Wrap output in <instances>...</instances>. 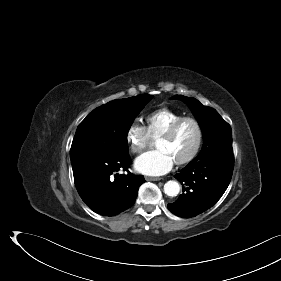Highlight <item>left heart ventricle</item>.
<instances>
[{
	"mask_svg": "<svg viewBox=\"0 0 281 281\" xmlns=\"http://www.w3.org/2000/svg\"><path fill=\"white\" fill-rule=\"evenodd\" d=\"M197 141V129L194 123L184 122L175 135L167 140L157 141V148L166 151L176 162L191 153Z\"/></svg>",
	"mask_w": 281,
	"mask_h": 281,
	"instance_id": "1",
	"label": "left heart ventricle"
}]
</instances>
